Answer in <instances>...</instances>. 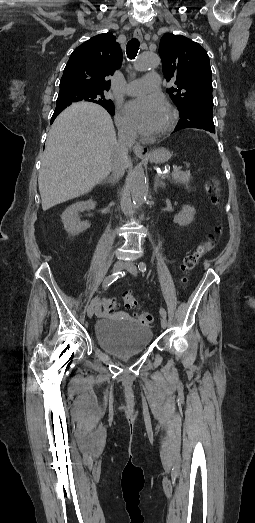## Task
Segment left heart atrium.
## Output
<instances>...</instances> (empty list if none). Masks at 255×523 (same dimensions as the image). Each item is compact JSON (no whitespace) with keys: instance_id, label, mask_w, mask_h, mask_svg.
<instances>
[{"instance_id":"obj_1","label":"left heart atrium","mask_w":255,"mask_h":523,"mask_svg":"<svg viewBox=\"0 0 255 523\" xmlns=\"http://www.w3.org/2000/svg\"><path fill=\"white\" fill-rule=\"evenodd\" d=\"M164 106L157 96H145L130 101L125 107V114L131 125L142 133H150L159 111Z\"/></svg>"}]
</instances>
